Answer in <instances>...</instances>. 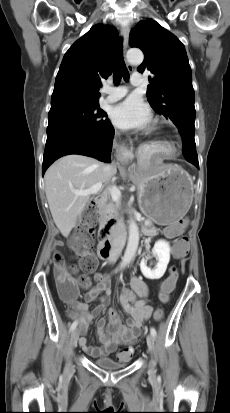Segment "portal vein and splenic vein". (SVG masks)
Here are the masks:
<instances>
[{"mask_svg":"<svg viewBox=\"0 0 230 413\" xmlns=\"http://www.w3.org/2000/svg\"><path fill=\"white\" fill-rule=\"evenodd\" d=\"M103 186H102V182L96 183L95 185H93L92 187H90L87 190H73V193L75 195L78 196H88V195H94V194H98L100 191H102ZM109 194L111 196V198L114 201L119 202L121 199V192L120 190L115 187V186H111L109 187Z\"/></svg>","mask_w":230,"mask_h":413,"instance_id":"18ae733b","label":"portal vein and splenic vein"}]
</instances>
